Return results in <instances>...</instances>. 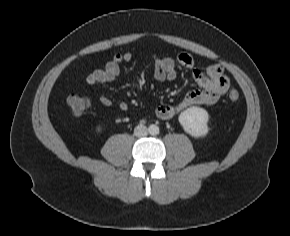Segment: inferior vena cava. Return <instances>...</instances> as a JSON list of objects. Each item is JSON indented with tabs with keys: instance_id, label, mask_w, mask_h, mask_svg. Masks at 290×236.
<instances>
[{
	"instance_id": "602c4592",
	"label": "inferior vena cava",
	"mask_w": 290,
	"mask_h": 236,
	"mask_svg": "<svg viewBox=\"0 0 290 236\" xmlns=\"http://www.w3.org/2000/svg\"><path fill=\"white\" fill-rule=\"evenodd\" d=\"M148 134V129L146 126L140 124L135 127L134 129V135L137 137H144Z\"/></svg>"
}]
</instances>
